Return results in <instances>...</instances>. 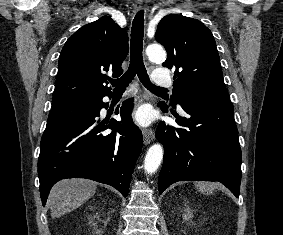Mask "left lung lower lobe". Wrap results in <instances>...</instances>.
Masks as SVG:
<instances>
[{
	"mask_svg": "<svg viewBox=\"0 0 283 235\" xmlns=\"http://www.w3.org/2000/svg\"><path fill=\"white\" fill-rule=\"evenodd\" d=\"M187 116L170 112L185 128H171L161 122L156 137L164 145V162L158 190L187 180L219 181L236 197L241 182V149L231 104L213 105L181 101ZM167 112V106L160 104Z\"/></svg>",
	"mask_w": 283,
	"mask_h": 235,
	"instance_id": "left-lung-lower-lobe-1",
	"label": "left lung lower lobe"
}]
</instances>
